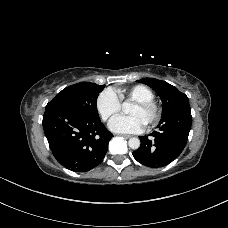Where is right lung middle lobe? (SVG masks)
<instances>
[{
  "label": "right lung middle lobe",
  "mask_w": 228,
  "mask_h": 228,
  "mask_svg": "<svg viewBox=\"0 0 228 228\" xmlns=\"http://www.w3.org/2000/svg\"><path fill=\"white\" fill-rule=\"evenodd\" d=\"M104 86L80 82L63 89L47 105H63L88 116H98L96 101Z\"/></svg>",
  "instance_id": "right-lung-middle-lobe-1"
}]
</instances>
